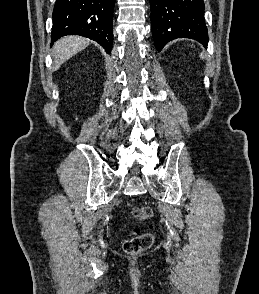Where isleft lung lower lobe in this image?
Masks as SVG:
<instances>
[{
    "label": "left lung lower lobe",
    "instance_id": "left-lung-lower-lobe-1",
    "mask_svg": "<svg viewBox=\"0 0 259 294\" xmlns=\"http://www.w3.org/2000/svg\"><path fill=\"white\" fill-rule=\"evenodd\" d=\"M152 36L158 51L171 40L191 38L208 44L203 0H150Z\"/></svg>",
    "mask_w": 259,
    "mask_h": 294
}]
</instances>
